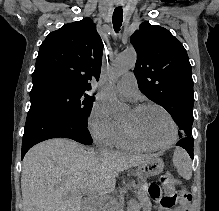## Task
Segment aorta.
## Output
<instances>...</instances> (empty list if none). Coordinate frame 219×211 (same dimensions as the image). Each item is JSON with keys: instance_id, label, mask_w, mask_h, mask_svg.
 Masks as SVG:
<instances>
[{"instance_id": "obj_1", "label": "aorta", "mask_w": 219, "mask_h": 211, "mask_svg": "<svg viewBox=\"0 0 219 211\" xmlns=\"http://www.w3.org/2000/svg\"><path fill=\"white\" fill-rule=\"evenodd\" d=\"M136 63V53L134 50H126L121 53L115 60L111 75L112 77H118L126 73ZM103 99L107 106V111L113 118H119L123 116L127 110L128 106L121 102L112 88L105 89L102 93ZM117 201L115 199H110L104 206V211H116Z\"/></svg>"}]
</instances>
